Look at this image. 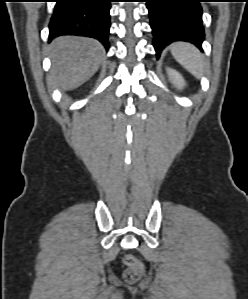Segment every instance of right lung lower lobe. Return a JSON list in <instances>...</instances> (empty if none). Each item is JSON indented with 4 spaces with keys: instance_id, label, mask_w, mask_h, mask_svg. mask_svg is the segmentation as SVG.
<instances>
[{
    "instance_id": "1",
    "label": "right lung lower lobe",
    "mask_w": 248,
    "mask_h": 299,
    "mask_svg": "<svg viewBox=\"0 0 248 299\" xmlns=\"http://www.w3.org/2000/svg\"><path fill=\"white\" fill-rule=\"evenodd\" d=\"M111 0H57L49 23V39L60 35L86 36L109 48Z\"/></svg>"
}]
</instances>
